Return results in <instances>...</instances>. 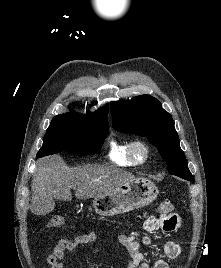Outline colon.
I'll list each match as a JSON object with an SVG mask.
<instances>
[{
  "label": "colon",
  "mask_w": 221,
  "mask_h": 268,
  "mask_svg": "<svg viewBox=\"0 0 221 268\" xmlns=\"http://www.w3.org/2000/svg\"><path fill=\"white\" fill-rule=\"evenodd\" d=\"M174 205L171 200L165 199L163 200L159 206H158V212L161 213L163 216H169L173 214ZM66 224L65 219L62 215H54L49 221H48V227L50 228H62Z\"/></svg>",
  "instance_id": "colon-1"
}]
</instances>
